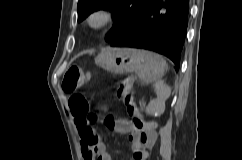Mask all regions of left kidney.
Masks as SVG:
<instances>
[{
  "instance_id": "1",
  "label": "left kidney",
  "mask_w": 242,
  "mask_h": 160,
  "mask_svg": "<svg viewBox=\"0 0 242 160\" xmlns=\"http://www.w3.org/2000/svg\"><path fill=\"white\" fill-rule=\"evenodd\" d=\"M167 97H163L162 99H158V100H153L150 102L149 104V110L150 112L149 113H154L155 112V106L159 104V110H158V113H162L164 111V108H165V99ZM158 113L156 112V115H158Z\"/></svg>"
}]
</instances>
